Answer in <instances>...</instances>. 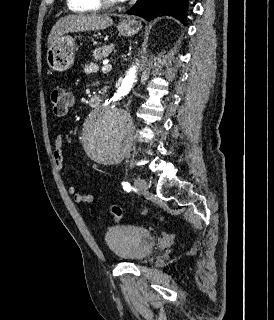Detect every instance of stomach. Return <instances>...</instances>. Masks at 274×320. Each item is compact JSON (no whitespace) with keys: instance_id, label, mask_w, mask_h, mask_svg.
<instances>
[{"instance_id":"0dacf381","label":"stomach","mask_w":274,"mask_h":320,"mask_svg":"<svg viewBox=\"0 0 274 320\" xmlns=\"http://www.w3.org/2000/svg\"><path fill=\"white\" fill-rule=\"evenodd\" d=\"M120 24L125 26H118V32L120 36H134L140 32L142 26L141 22L132 20V18H122ZM76 52L75 38L72 36H61L60 40H57L56 44L50 46L47 50V64L53 72H64L69 70L72 64H74Z\"/></svg>"}]
</instances>
